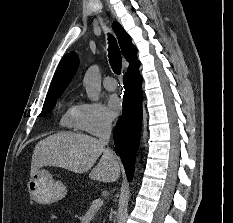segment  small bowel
Segmentation results:
<instances>
[{"mask_svg": "<svg viewBox=\"0 0 233 223\" xmlns=\"http://www.w3.org/2000/svg\"><path fill=\"white\" fill-rule=\"evenodd\" d=\"M83 223H88L87 217L83 219Z\"/></svg>", "mask_w": 233, "mask_h": 223, "instance_id": "c3829d8e", "label": "small bowel"}]
</instances>
